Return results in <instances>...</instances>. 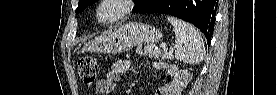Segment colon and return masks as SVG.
Here are the masks:
<instances>
[{
    "instance_id": "colon-1",
    "label": "colon",
    "mask_w": 277,
    "mask_h": 95,
    "mask_svg": "<svg viewBox=\"0 0 277 95\" xmlns=\"http://www.w3.org/2000/svg\"><path fill=\"white\" fill-rule=\"evenodd\" d=\"M77 71L84 84L91 87L97 79L98 62L93 57H82L77 63Z\"/></svg>"
}]
</instances>
